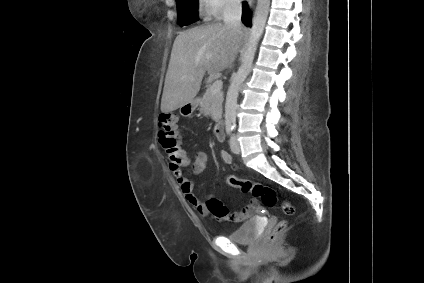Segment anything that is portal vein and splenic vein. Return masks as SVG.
Returning <instances> with one entry per match:
<instances>
[{
	"mask_svg": "<svg viewBox=\"0 0 424 283\" xmlns=\"http://www.w3.org/2000/svg\"><path fill=\"white\" fill-rule=\"evenodd\" d=\"M222 86H223V82H222V80H220V79H216V80L212 83V85H210V91H211L213 94L219 93V92H221Z\"/></svg>",
	"mask_w": 424,
	"mask_h": 283,
	"instance_id": "18ae733b",
	"label": "portal vein and splenic vein"
}]
</instances>
